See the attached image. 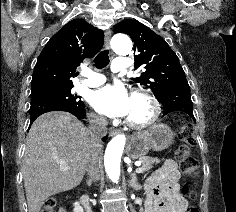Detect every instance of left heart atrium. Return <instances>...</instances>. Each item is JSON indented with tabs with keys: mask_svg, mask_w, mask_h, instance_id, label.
I'll return each instance as SVG.
<instances>
[{
	"mask_svg": "<svg viewBox=\"0 0 236 212\" xmlns=\"http://www.w3.org/2000/svg\"><path fill=\"white\" fill-rule=\"evenodd\" d=\"M131 99L124 85L108 84L94 91L89 101L96 111L105 116L126 117L131 109Z\"/></svg>",
	"mask_w": 236,
	"mask_h": 212,
	"instance_id": "left-heart-atrium-1",
	"label": "left heart atrium"
}]
</instances>
